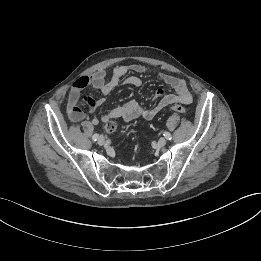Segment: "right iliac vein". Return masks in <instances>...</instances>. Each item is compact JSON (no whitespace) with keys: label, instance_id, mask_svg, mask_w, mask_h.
Segmentation results:
<instances>
[{"label":"right iliac vein","instance_id":"obj_1","mask_svg":"<svg viewBox=\"0 0 261 261\" xmlns=\"http://www.w3.org/2000/svg\"><path fill=\"white\" fill-rule=\"evenodd\" d=\"M104 143H105L104 137H103V136H100V137L98 138V144H99V145H103Z\"/></svg>","mask_w":261,"mask_h":261}]
</instances>
